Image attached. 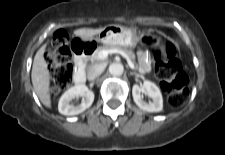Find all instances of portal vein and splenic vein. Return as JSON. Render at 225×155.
<instances>
[{"instance_id":"18ae733b","label":"portal vein and splenic vein","mask_w":225,"mask_h":155,"mask_svg":"<svg viewBox=\"0 0 225 155\" xmlns=\"http://www.w3.org/2000/svg\"><path fill=\"white\" fill-rule=\"evenodd\" d=\"M115 53L120 54L121 56H123L126 59L129 67L131 69H134V64L131 61V59L129 58V56L124 51L116 49V48L100 51L98 53V58L100 60H104V59H106L108 57V54H115Z\"/></svg>"}]
</instances>
